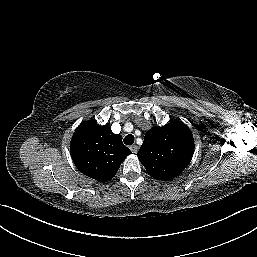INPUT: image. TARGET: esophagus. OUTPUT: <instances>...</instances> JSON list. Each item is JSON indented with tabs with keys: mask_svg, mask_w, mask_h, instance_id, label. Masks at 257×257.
<instances>
[{
	"mask_svg": "<svg viewBox=\"0 0 257 257\" xmlns=\"http://www.w3.org/2000/svg\"><path fill=\"white\" fill-rule=\"evenodd\" d=\"M130 150H131L133 153H137V152H138V146H137V145H131V146H130Z\"/></svg>",
	"mask_w": 257,
	"mask_h": 257,
	"instance_id": "esophagus-1",
	"label": "esophagus"
}]
</instances>
